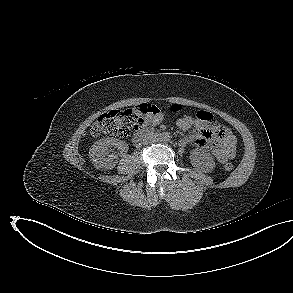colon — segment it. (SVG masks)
<instances>
[{
	"label": "colon",
	"instance_id": "1",
	"mask_svg": "<svg viewBox=\"0 0 293 293\" xmlns=\"http://www.w3.org/2000/svg\"><path fill=\"white\" fill-rule=\"evenodd\" d=\"M179 106L170 107L172 112H178ZM198 117L211 121L212 116L199 112ZM143 123L142 113L138 109L111 110L102 114L93 124L90 133L93 137L115 136L127 137L132 131L138 129ZM234 168L232 163H226L223 166L224 171H232Z\"/></svg>",
	"mask_w": 293,
	"mask_h": 293
}]
</instances>
